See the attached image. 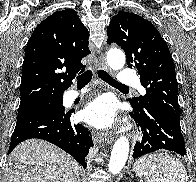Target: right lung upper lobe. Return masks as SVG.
Wrapping results in <instances>:
<instances>
[{"mask_svg":"<svg viewBox=\"0 0 196 182\" xmlns=\"http://www.w3.org/2000/svg\"><path fill=\"white\" fill-rule=\"evenodd\" d=\"M88 37L73 9L57 11L37 25L25 50L20 105L63 96L85 69L81 59L91 53Z\"/></svg>","mask_w":196,"mask_h":182,"instance_id":"right-lung-upper-lobe-1","label":"right lung upper lobe"}]
</instances>
